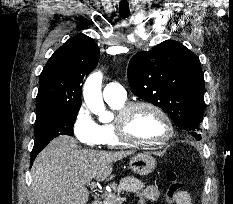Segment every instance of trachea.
Segmentation results:
<instances>
[{"label":"trachea","mask_w":233,"mask_h":204,"mask_svg":"<svg viewBox=\"0 0 233 204\" xmlns=\"http://www.w3.org/2000/svg\"><path fill=\"white\" fill-rule=\"evenodd\" d=\"M129 13H120V16L122 17V18H127V17H129Z\"/></svg>","instance_id":"trachea-1"}]
</instances>
